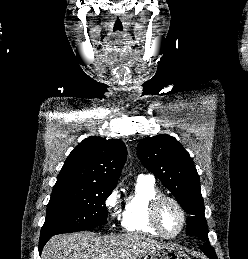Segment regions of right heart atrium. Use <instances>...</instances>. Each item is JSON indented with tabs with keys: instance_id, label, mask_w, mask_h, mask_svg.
Returning a JSON list of instances; mask_svg holds the SVG:
<instances>
[{
	"instance_id": "d8ad5b80",
	"label": "right heart atrium",
	"mask_w": 248,
	"mask_h": 259,
	"mask_svg": "<svg viewBox=\"0 0 248 259\" xmlns=\"http://www.w3.org/2000/svg\"><path fill=\"white\" fill-rule=\"evenodd\" d=\"M106 207L115 216H118V207H119V192L115 188L106 199Z\"/></svg>"
}]
</instances>
